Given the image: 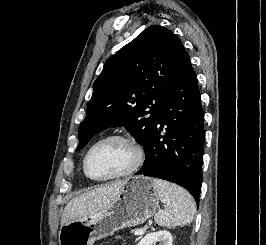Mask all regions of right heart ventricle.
<instances>
[{"instance_id":"e07e8e85","label":"right heart ventricle","mask_w":266,"mask_h":245,"mask_svg":"<svg viewBox=\"0 0 266 245\" xmlns=\"http://www.w3.org/2000/svg\"><path fill=\"white\" fill-rule=\"evenodd\" d=\"M82 173H83V175H84L85 178L89 179V178L86 176V174L84 173V170H83V164H82Z\"/></svg>"}]
</instances>
